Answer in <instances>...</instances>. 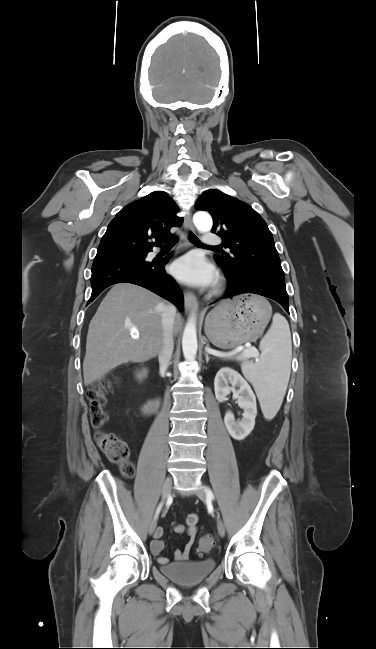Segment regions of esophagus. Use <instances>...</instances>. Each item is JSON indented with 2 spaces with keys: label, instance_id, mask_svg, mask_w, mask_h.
<instances>
[{
  "label": "esophagus",
  "instance_id": "esophagus-1",
  "mask_svg": "<svg viewBox=\"0 0 376 649\" xmlns=\"http://www.w3.org/2000/svg\"><path fill=\"white\" fill-rule=\"evenodd\" d=\"M184 229L186 232V235H188L190 232H194V226L191 220V215L188 213L184 219ZM197 307V299L196 296L191 293V292H186L185 294V308L189 312L193 310L194 308Z\"/></svg>",
  "mask_w": 376,
  "mask_h": 649
}]
</instances>
